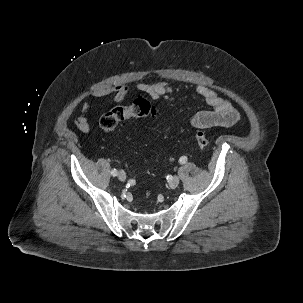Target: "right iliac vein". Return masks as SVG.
<instances>
[{
    "instance_id": "1",
    "label": "right iliac vein",
    "mask_w": 303,
    "mask_h": 303,
    "mask_svg": "<svg viewBox=\"0 0 303 303\" xmlns=\"http://www.w3.org/2000/svg\"><path fill=\"white\" fill-rule=\"evenodd\" d=\"M118 179L120 181H125L126 180V173L123 170L118 172Z\"/></svg>"
}]
</instances>
